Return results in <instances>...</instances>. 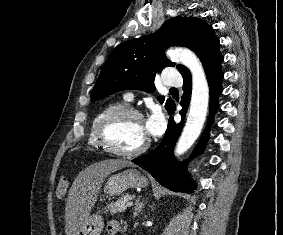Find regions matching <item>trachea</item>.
<instances>
[{"label": "trachea", "mask_w": 283, "mask_h": 235, "mask_svg": "<svg viewBox=\"0 0 283 235\" xmlns=\"http://www.w3.org/2000/svg\"><path fill=\"white\" fill-rule=\"evenodd\" d=\"M171 90H172V91H176V92H178V90H177L176 88H171Z\"/></svg>", "instance_id": "1"}]
</instances>
